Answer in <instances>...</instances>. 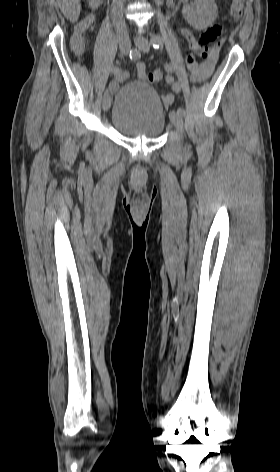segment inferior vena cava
<instances>
[{
    "label": "inferior vena cava",
    "mask_w": 280,
    "mask_h": 472,
    "mask_svg": "<svg viewBox=\"0 0 280 472\" xmlns=\"http://www.w3.org/2000/svg\"><path fill=\"white\" fill-rule=\"evenodd\" d=\"M125 0H113L112 3V12L115 17L114 23L116 26V29L125 32L126 30V24L123 21V2Z\"/></svg>",
    "instance_id": "inferior-vena-cava-1"
}]
</instances>
